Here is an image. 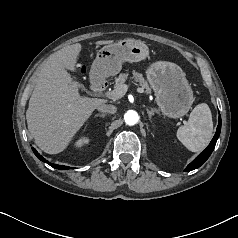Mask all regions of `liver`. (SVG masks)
Returning <instances> with one entry per match:
<instances>
[{"label": "liver", "instance_id": "1", "mask_svg": "<svg viewBox=\"0 0 238 238\" xmlns=\"http://www.w3.org/2000/svg\"><path fill=\"white\" fill-rule=\"evenodd\" d=\"M113 44L112 40L96 45ZM82 49L77 43L53 53L38 72L36 86L26 112L28 130L36 145L48 154L62 152L92 112L106 101L80 96L78 83L69 69Z\"/></svg>", "mask_w": 238, "mask_h": 238}]
</instances>
